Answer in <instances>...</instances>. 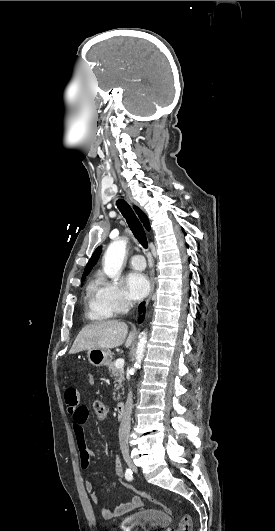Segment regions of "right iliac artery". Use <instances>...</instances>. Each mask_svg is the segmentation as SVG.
<instances>
[{
    "label": "right iliac artery",
    "mask_w": 275,
    "mask_h": 531,
    "mask_svg": "<svg viewBox=\"0 0 275 531\" xmlns=\"http://www.w3.org/2000/svg\"><path fill=\"white\" fill-rule=\"evenodd\" d=\"M125 478L128 480V481H131L133 479V475H132V471L130 469H126V472H125Z\"/></svg>",
    "instance_id": "1"
}]
</instances>
